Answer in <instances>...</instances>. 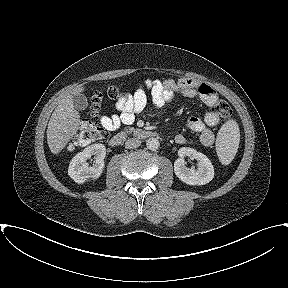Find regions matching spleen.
Returning <instances> with one entry per match:
<instances>
[{
    "mask_svg": "<svg viewBox=\"0 0 288 288\" xmlns=\"http://www.w3.org/2000/svg\"><path fill=\"white\" fill-rule=\"evenodd\" d=\"M240 132L235 120L227 121L219 130L216 140V151L222 164H229L237 153Z\"/></svg>",
    "mask_w": 288,
    "mask_h": 288,
    "instance_id": "obj_1",
    "label": "spleen"
}]
</instances>
